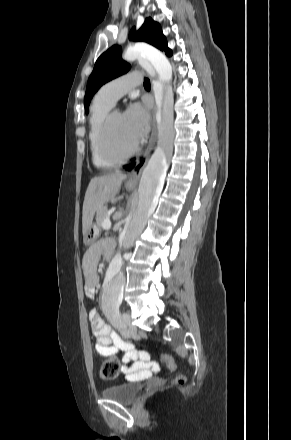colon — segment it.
Returning a JSON list of instances; mask_svg holds the SVG:
<instances>
[{
	"label": "colon",
	"instance_id": "1",
	"mask_svg": "<svg viewBox=\"0 0 291 440\" xmlns=\"http://www.w3.org/2000/svg\"><path fill=\"white\" fill-rule=\"evenodd\" d=\"M140 355L144 359H150V355L146 352H140ZM165 364L168 368V370L172 371L175 368V362L171 357H165L164 358ZM120 373V366L117 361V359L110 357L107 359L103 365L99 369V376L104 381H110L114 380L118 377ZM186 381V378L183 375H179L176 378V382L184 383Z\"/></svg>",
	"mask_w": 291,
	"mask_h": 440
}]
</instances>
